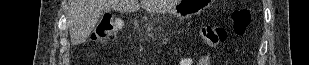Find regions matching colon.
<instances>
[{
    "label": "colon",
    "instance_id": "5ec220e1",
    "mask_svg": "<svg viewBox=\"0 0 309 65\" xmlns=\"http://www.w3.org/2000/svg\"><path fill=\"white\" fill-rule=\"evenodd\" d=\"M251 22V14L247 9H239L233 12L231 16L230 30L225 27L213 24H207L200 29V36L203 42L209 47H215L224 42L229 34L243 35ZM123 20L115 15H107L101 20L97 38L103 44L112 43L117 32L123 27Z\"/></svg>",
    "mask_w": 309,
    "mask_h": 65
}]
</instances>
